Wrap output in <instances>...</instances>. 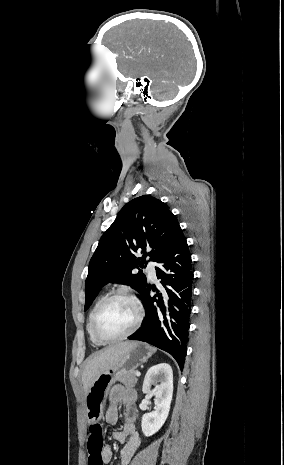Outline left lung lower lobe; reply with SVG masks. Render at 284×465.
<instances>
[{"instance_id": "left-lung-lower-lobe-1", "label": "left lung lower lobe", "mask_w": 284, "mask_h": 465, "mask_svg": "<svg viewBox=\"0 0 284 465\" xmlns=\"http://www.w3.org/2000/svg\"><path fill=\"white\" fill-rule=\"evenodd\" d=\"M156 275L161 279L160 290L146 283L139 298L146 318L130 340L152 344L168 353L183 369L189 341L192 310L193 269L186 238L179 227L172 243L156 260ZM157 295L151 297L150 290Z\"/></svg>"}]
</instances>
